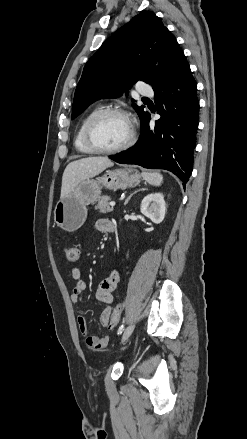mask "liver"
<instances>
[{"mask_svg":"<svg viewBox=\"0 0 247 439\" xmlns=\"http://www.w3.org/2000/svg\"><path fill=\"white\" fill-rule=\"evenodd\" d=\"M112 166L113 162L107 157H87L69 163L62 176L60 198L66 197L81 181L90 179Z\"/></svg>","mask_w":247,"mask_h":439,"instance_id":"6515ba94","label":"liver"}]
</instances>
